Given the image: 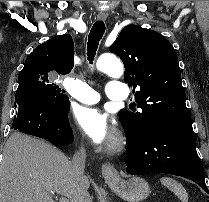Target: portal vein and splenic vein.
Here are the masks:
<instances>
[{
  "label": "portal vein and splenic vein",
  "mask_w": 209,
  "mask_h": 202,
  "mask_svg": "<svg viewBox=\"0 0 209 202\" xmlns=\"http://www.w3.org/2000/svg\"><path fill=\"white\" fill-rule=\"evenodd\" d=\"M50 193L54 194L55 192L52 191V190H50ZM61 202H68V200H67L66 198H62V199H61Z\"/></svg>",
  "instance_id": "portal-vein-and-splenic-vein-1"
}]
</instances>
